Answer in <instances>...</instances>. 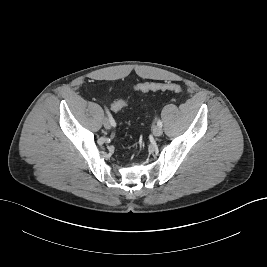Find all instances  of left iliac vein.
Masks as SVG:
<instances>
[{"label":"left iliac vein","instance_id":"4c4485c4","mask_svg":"<svg viewBox=\"0 0 267 267\" xmlns=\"http://www.w3.org/2000/svg\"><path fill=\"white\" fill-rule=\"evenodd\" d=\"M162 132H163L162 128L160 126H158V125L153 128V134L155 136H161Z\"/></svg>","mask_w":267,"mask_h":267}]
</instances>
